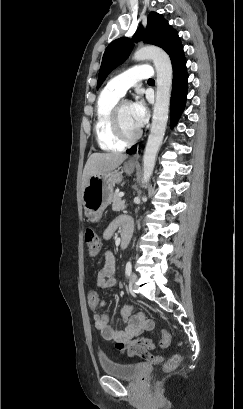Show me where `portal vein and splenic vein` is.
<instances>
[{"mask_svg": "<svg viewBox=\"0 0 243 409\" xmlns=\"http://www.w3.org/2000/svg\"><path fill=\"white\" fill-rule=\"evenodd\" d=\"M119 196H120V197H123V196H124V193H123V192H120V193H119Z\"/></svg>", "mask_w": 243, "mask_h": 409, "instance_id": "18ae733b", "label": "portal vein and splenic vein"}]
</instances>
